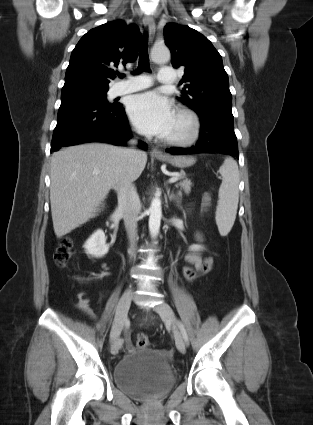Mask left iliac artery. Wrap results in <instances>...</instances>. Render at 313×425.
<instances>
[{
  "label": "left iliac artery",
  "mask_w": 313,
  "mask_h": 425,
  "mask_svg": "<svg viewBox=\"0 0 313 425\" xmlns=\"http://www.w3.org/2000/svg\"><path fill=\"white\" fill-rule=\"evenodd\" d=\"M178 326H179V328H180L181 334H182V336H183V338H184L185 342H186V343H189V338H188V335H187L186 329H185L184 325L182 324V322L178 321Z\"/></svg>",
  "instance_id": "44dca946"
}]
</instances>
